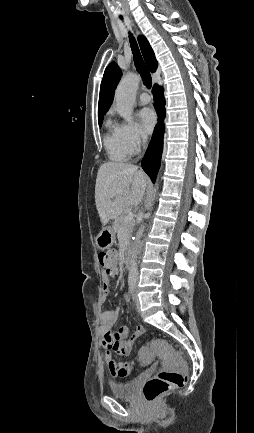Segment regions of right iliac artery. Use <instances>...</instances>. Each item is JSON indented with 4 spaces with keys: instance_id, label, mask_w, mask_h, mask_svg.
I'll return each mask as SVG.
<instances>
[{
    "instance_id": "right-iliac-artery-1",
    "label": "right iliac artery",
    "mask_w": 254,
    "mask_h": 433,
    "mask_svg": "<svg viewBox=\"0 0 254 433\" xmlns=\"http://www.w3.org/2000/svg\"><path fill=\"white\" fill-rule=\"evenodd\" d=\"M135 286H136L135 282L129 283V290L131 294L135 291Z\"/></svg>"
}]
</instances>
